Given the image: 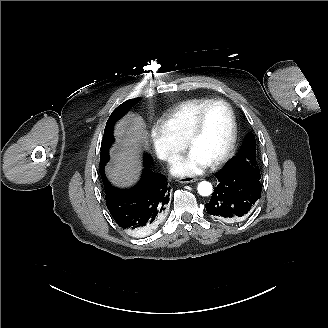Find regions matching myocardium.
Returning <instances> with one entry per match:
<instances>
[{"label": "myocardium", "mask_w": 328, "mask_h": 328, "mask_svg": "<svg viewBox=\"0 0 328 328\" xmlns=\"http://www.w3.org/2000/svg\"><path fill=\"white\" fill-rule=\"evenodd\" d=\"M216 105H224L225 107H227L230 117H231V122H232V135H231V140H230V143H229L226 151L219 158H217L216 160H214L213 162L210 163V166H212V167H218V166L224 164L225 162H227L233 156V154L236 150V147H237V143H238L237 117H236V113H235L233 106L228 101H226L224 99H214V100H211L209 103H207L204 107H202L200 109V111L198 112V114L196 115V117L193 121V124L191 125V127L186 135L185 141H184L185 147L189 148V144L200 133L208 111Z\"/></svg>", "instance_id": "myocardium-1"}]
</instances>
